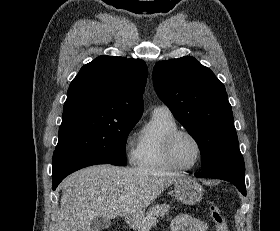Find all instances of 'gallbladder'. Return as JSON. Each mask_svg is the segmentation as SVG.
<instances>
[{
	"instance_id": "obj_1",
	"label": "gallbladder",
	"mask_w": 280,
	"mask_h": 231,
	"mask_svg": "<svg viewBox=\"0 0 280 231\" xmlns=\"http://www.w3.org/2000/svg\"><path fill=\"white\" fill-rule=\"evenodd\" d=\"M109 225H111L110 219L98 215V217H95L94 221L90 223V231H101V229H107Z\"/></svg>"
}]
</instances>
